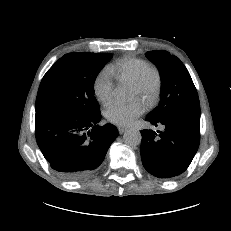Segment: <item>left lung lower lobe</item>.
Masks as SVG:
<instances>
[{
    "label": "left lung lower lobe",
    "mask_w": 231,
    "mask_h": 231,
    "mask_svg": "<svg viewBox=\"0 0 231 231\" xmlns=\"http://www.w3.org/2000/svg\"><path fill=\"white\" fill-rule=\"evenodd\" d=\"M163 131L142 130L141 158L144 168L158 178L183 173L194 158L200 143V113H184L168 118L146 117Z\"/></svg>",
    "instance_id": "1"
}]
</instances>
